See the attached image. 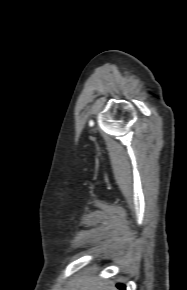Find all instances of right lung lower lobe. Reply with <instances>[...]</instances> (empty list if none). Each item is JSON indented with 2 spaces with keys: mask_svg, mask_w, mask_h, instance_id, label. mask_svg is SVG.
<instances>
[{
  "mask_svg": "<svg viewBox=\"0 0 187 290\" xmlns=\"http://www.w3.org/2000/svg\"><path fill=\"white\" fill-rule=\"evenodd\" d=\"M119 288L122 290H125V286L124 285H119Z\"/></svg>",
  "mask_w": 187,
  "mask_h": 290,
  "instance_id": "obj_1",
  "label": "right lung lower lobe"
}]
</instances>
